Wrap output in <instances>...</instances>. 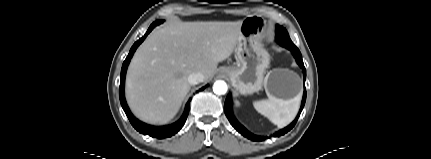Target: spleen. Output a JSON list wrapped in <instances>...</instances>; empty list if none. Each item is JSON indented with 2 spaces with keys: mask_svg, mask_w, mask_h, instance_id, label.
I'll return each mask as SVG.
<instances>
[{
  "mask_svg": "<svg viewBox=\"0 0 431 159\" xmlns=\"http://www.w3.org/2000/svg\"><path fill=\"white\" fill-rule=\"evenodd\" d=\"M301 98V93L290 100L268 95V99L255 101L253 106L258 113L267 117L279 128H283L294 120L300 107Z\"/></svg>",
  "mask_w": 431,
  "mask_h": 159,
  "instance_id": "spleen-1",
  "label": "spleen"
}]
</instances>
